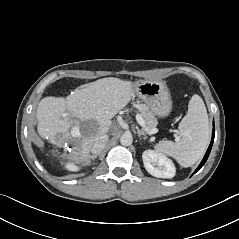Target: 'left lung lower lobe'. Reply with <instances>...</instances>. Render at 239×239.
<instances>
[{
    "instance_id": "left-lung-lower-lobe-1",
    "label": "left lung lower lobe",
    "mask_w": 239,
    "mask_h": 239,
    "mask_svg": "<svg viewBox=\"0 0 239 239\" xmlns=\"http://www.w3.org/2000/svg\"><path fill=\"white\" fill-rule=\"evenodd\" d=\"M214 136H215V130L213 129V130H212V139H211V143H210V145H209V147H208V150H207V152H206V154H205V156H204L202 162L200 163V165L198 166V168L195 170L194 173H196V172L205 164V162H206V160H207V158H208V156H209V154H210L212 145H213ZM194 173H193V174H194Z\"/></svg>"
}]
</instances>
